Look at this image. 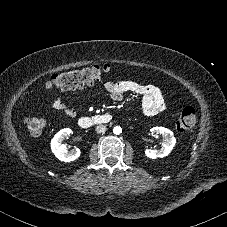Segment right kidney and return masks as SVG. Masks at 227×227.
Listing matches in <instances>:
<instances>
[{
	"label": "right kidney",
	"instance_id": "1",
	"mask_svg": "<svg viewBox=\"0 0 227 227\" xmlns=\"http://www.w3.org/2000/svg\"><path fill=\"white\" fill-rule=\"evenodd\" d=\"M71 133L72 130L69 128L62 129L51 140V150L60 161L71 162L76 160L81 154L78 148L68 151L66 145L62 143L64 138H68Z\"/></svg>",
	"mask_w": 227,
	"mask_h": 227
}]
</instances>
